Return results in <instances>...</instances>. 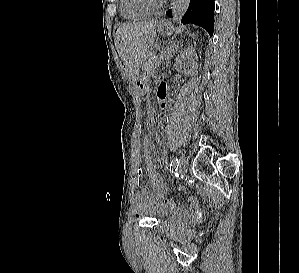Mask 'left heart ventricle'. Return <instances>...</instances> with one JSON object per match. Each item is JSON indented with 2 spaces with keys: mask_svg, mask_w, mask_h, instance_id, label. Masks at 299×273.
I'll return each instance as SVG.
<instances>
[{
  "mask_svg": "<svg viewBox=\"0 0 299 273\" xmlns=\"http://www.w3.org/2000/svg\"><path fill=\"white\" fill-rule=\"evenodd\" d=\"M151 1L156 3V2H159V1H161V0H151Z\"/></svg>",
  "mask_w": 299,
  "mask_h": 273,
  "instance_id": "left-heart-ventricle-1",
  "label": "left heart ventricle"
}]
</instances>
